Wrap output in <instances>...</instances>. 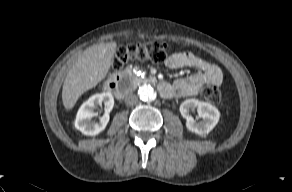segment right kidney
<instances>
[{"label": "right kidney", "instance_id": "right-kidney-1", "mask_svg": "<svg viewBox=\"0 0 292 192\" xmlns=\"http://www.w3.org/2000/svg\"><path fill=\"white\" fill-rule=\"evenodd\" d=\"M105 105V114L100 118L99 122H93L91 119L95 116L94 108L97 105ZM114 106V98L110 92L98 93L91 96L84 102L76 115L75 127L84 135L95 136L102 132L108 121L109 112Z\"/></svg>", "mask_w": 292, "mask_h": 192}]
</instances>
